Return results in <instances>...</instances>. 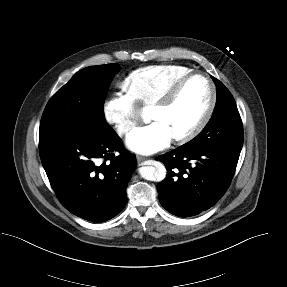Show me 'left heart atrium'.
<instances>
[{
	"mask_svg": "<svg viewBox=\"0 0 287 287\" xmlns=\"http://www.w3.org/2000/svg\"><path fill=\"white\" fill-rule=\"evenodd\" d=\"M173 136L165 124L153 121L135 128L127 137V146L141 154H152L169 146Z\"/></svg>",
	"mask_w": 287,
	"mask_h": 287,
	"instance_id": "obj_1",
	"label": "left heart atrium"
}]
</instances>
